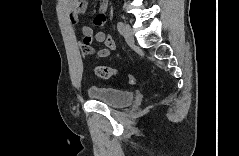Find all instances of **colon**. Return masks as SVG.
I'll return each instance as SVG.
<instances>
[{
    "label": "colon",
    "instance_id": "colon-1",
    "mask_svg": "<svg viewBox=\"0 0 239 156\" xmlns=\"http://www.w3.org/2000/svg\"><path fill=\"white\" fill-rule=\"evenodd\" d=\"M96 74L100 78L108 79V78L116 76L118 72L107 66H98L96 68ZM126 80L131 85L135 83V78L131 75H127Z\"/></svg>",
    "mask_w": 239,
    "mask_h": 156
}]
</instances>
